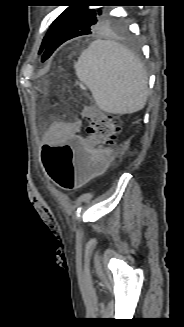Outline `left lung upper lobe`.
I'll use <instances>...</instances> for the list:
<instances>
[{
    "label": "left lung upper lobe",
    "instance_id": "1",
    "mask_svg": "<svg viewBox=\"0 0 184 327\" xmlns=\"http://www.w3.org/2000/svg\"><path fill=\"white\" fill-rule=\"evenodd\" d=\"M63 17L64 24L70 29L79 32L81 35L93 33L96 29L107 23V17L99 9H88V6L75 5L69 6L60 16L52 23L48 33L43 39L39 52L41 53L46 47L49 38L56 26L57 21Z\"/></svg>",
    "mask_w": 184,
    "mask_h": 327
}]
</instances>
